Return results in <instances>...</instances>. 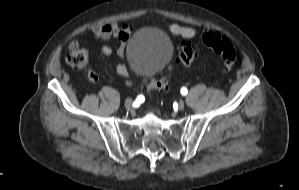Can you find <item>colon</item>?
Instances as JSON below:
<instances>
[{
    "mask_svg": "<svg viewBox=\"0 0 299 190\" xmlns=\"http://www.w3.org/2000/svg\"><path fill=\"white\" fill-rule=\"evenodd\" d=\"M204 44L211 48L223 61L225 69H231L237 61V51L232 45L231 41L215 32H205L203 34ZM197 46L192 42H184L179 47L178 60L188 67L196 59ZM66 63L74 69L87 68L91 70L88 64V51L78 46H71L69 53L65 58ZM170 67L162 70L158 75L145 81L144 90L148 93L153 91L165 90L168 88V71Z\"/></svg>",
    "mask_w": 299,
    "mask_h": 190,
    "instance_id": "1",
    "label": "colon"
}]
</instances>
